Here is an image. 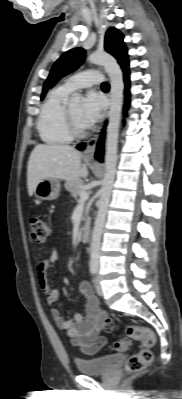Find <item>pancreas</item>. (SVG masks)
I'll list each match as a JSON object with an SVG mask.
<instances>
[{"instance_id": "pancreas-1", "label": "pancreas", "mask_w": 182, "mask_h": 399, "mask_svg": "<svg viewBox=\"0 0 182 399\" xmlns=\"http://www.w3.org/2000/svg\"><path fill=\"white\" fill-rule=\"evenodd\" d=\"M65 188L71 193L72 197L75 199L80 196V193L84 191V182L81 179L67 181L65 183ZM90 219L87 217L86 224H88Z\"/></svg>"}]
</instances>
